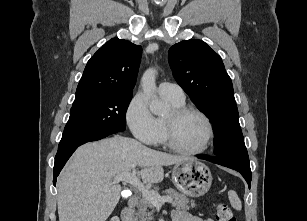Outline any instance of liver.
Wrapping results in <instances>:
<instances>
[{
	"mask_svg": "<svg viewBox=\"0 0 307 221\" xmlns=\"http://www.w3.org/2000/svg\"><path fill=\"white\" fill-rule=\"evenodd\" d=\"M188 160L115 136L80 146L58 177L59 221H106L119 202L114 178L138 166L146 184L161 182L163 166Z\"/></svg>",
	"mask_w": 307,
	"mask_h": 221,
	"instance_id": "1",
	"label": "liver"
}]
</instances>
